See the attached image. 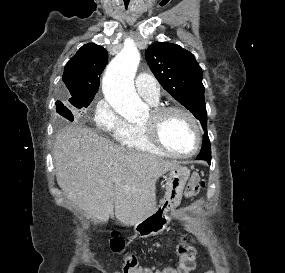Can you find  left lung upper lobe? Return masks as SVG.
<instances>
[{
	"instance_id": "obj_1",
	"label": "left lung upper lobe",
	"mask_w": 285,
	"mask_h": 273,
	"mask_svg": "<svg viewBox=\"0 0 285 273\" xmlns=\"http://www.w3.org/2000/svg\"><path fill=\"white\" fill-rule=\"evenodd\" d=\"M151 71L163 88L187 108L207 130L202 70L195 57L177 44L155 42L145 52Z\"/></svg>"
}]
</instances>
